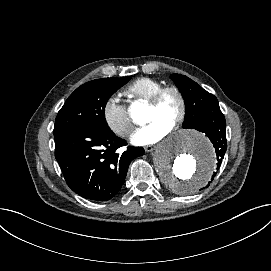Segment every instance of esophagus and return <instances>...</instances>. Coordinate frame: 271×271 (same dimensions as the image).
Here are the masks:
<instances>
[{
  "mask_svg": "<svg viewBox=\"0 0 271 271\" xmlns=\"http://www.w3.org/2000/svg\"><path fill=\"white\" fill-rule=\"evenodd\" d=\"M155 148H156V146L153 145V144L144 146V149H145L146 152H152V151L155 150Z\"/></svg>",
  "mask_w": 271,
  "mask_h": 271,
  "instance_id": "34e87169",
  "label": "esophagus"
}]
</instances>
